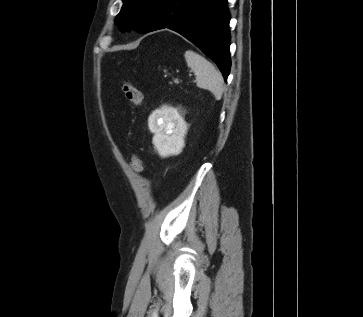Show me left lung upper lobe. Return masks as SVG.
Returning <instances> with one entry per match:
<instances>
[{
  "label": "left lung upper lobe",
  "mask_w": 363,
  "mask_h": 317,
  "mask_svg": "<svg viewBox=\"0 0 363 317\" xmlns=\"http://www.w3.org/2000/svg\"><path fill=\"white\" fill-rule=\"evenodd\" d=\"M160 0H123V7L115 19V24H134L145 31L150 24ZM124 26H121L123 29Z\"/></svg>",
  "instance_id": "obj_1"
}]
</instances>
